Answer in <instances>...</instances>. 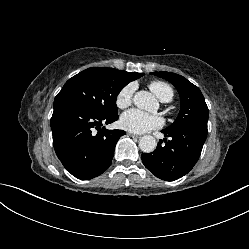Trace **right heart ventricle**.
Here are the masks:
<instances>
[{
	"instance_id": "obj_1",
	"label": "right heart ventricle",
	"mask_w": 249,
	"mask_h": 249,
	"mask_svg": "<svg viewBox=\"0 0 249 249\" xmlns=\"http://www.w3.org/2000/svg\"><path fill=\"white\" fill-rule=\"evenodd\" d=\"M149 88L162 102H169L173 99V88L166 82L152 81L149 84Z\"/></svg>"
}]
</instances>
